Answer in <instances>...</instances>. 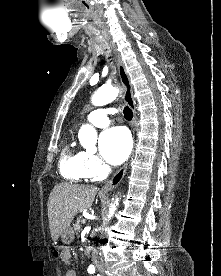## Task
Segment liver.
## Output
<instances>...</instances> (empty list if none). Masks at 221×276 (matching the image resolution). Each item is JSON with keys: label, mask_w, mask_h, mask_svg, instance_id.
<instances>
[{"label": "liver", "mask_w": 221, "mask_h": 276, "mask_svg": "<svg viewBox=\"0 0 221 276\" xmlns=\"http://www.w3.org/2000/svg\"><path fill=\"white\" fill-rule=\"evenodd\" d=\"M96 193L97 188L88 185L60 183L53 188L47 204L53 241L70 227L77 213L92 205Z\"/></svg>", "instance_id": "liver-1"}]
</instances>
